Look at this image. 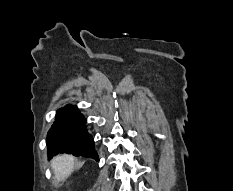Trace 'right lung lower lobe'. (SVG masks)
Segmentation results:
<instances>
[{
    "mask_svg": "<svg viewBox=\"0 0 233 191\" xmlns=\"http://www.w3.org/2000/svg\"><path fill=\"white\" fill-rule=\"evenodd\" d=\"M48 155L69 153L98 159L93 137L88 134L86 120L75 106L67 105L59 109L56 119L47 134Z\"/></svg>",
    "mask_w": 233,
    "mask_h": 191,
    "instance_id": "98d812e1",
    "label": "right lung lower lobe"
}]
</instances>
